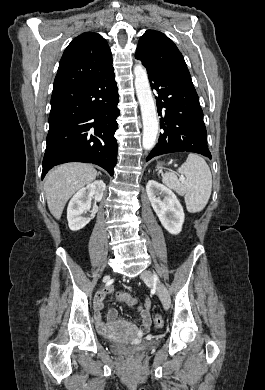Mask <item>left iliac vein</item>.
Masks as SVG:
<instances>
[{"instance_id": "left-iliac-vein-1", "label": "left iliac vein", "mask_w": 265, "mask_h": 390, "mask_svg": "<svg viewBox=\"0 0 265 390\" xmlns=\"http://www.w3.org/2000/svg\"><path fill=\"white\" fill-rule=\"evenodd\" d=\"M141 278L145 283L152 284L156 287L157 294L164 308L168 309L171 304V299L166 287L159 280L155 279L154 274L150 270L143 271L141 274Z\"/></svg>"}]
</instances>
